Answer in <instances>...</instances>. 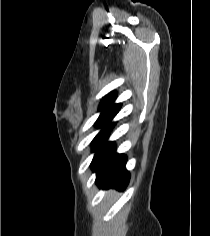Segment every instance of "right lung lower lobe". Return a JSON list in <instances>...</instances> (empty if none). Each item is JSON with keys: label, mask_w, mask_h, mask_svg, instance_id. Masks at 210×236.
I'll use <instances>...</instances> for the list:
<instances>
[{"label": "right lung lower lobe", "mask_w": 210, "mask_h": 236, "mask_svg": "<svg viewBox=\"0 0 210 236\" xmlns=\"http://www.w3.org/2000/svg\"><path fill=\"white\" fill-rule=\"evenodd\" d=\"M116 113L100 125L104 128L93 140V150L96 153L91 167L96 172V183L99 187L124 190L130 178L125 169L126 157L115 152L114 142H107L108 133L114 126V123H110V121Z\"/></svg>", "instance_id": "98d812e1"}]
</instances>
